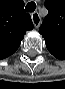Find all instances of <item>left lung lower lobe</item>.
Wrapping results in <instances>:
<instances>
[{"instance_id":"1","label":"left lung lower lobe","mask_w":65,"mask_h":89,"mask_svg":"<svg viewBox=\"0 0 65 89\" xmlns=\"http://www.w3.org/2000/svg\"><path fill=\"white\" fill-rule=\"evenodd\" d=\"M46 42V47L48 51L55 56L57 59L65 60V45L58 44V43H52V42Z\"/></svg>"}]
</instances>
